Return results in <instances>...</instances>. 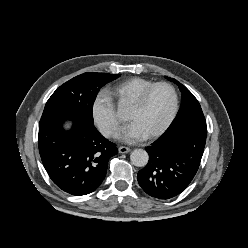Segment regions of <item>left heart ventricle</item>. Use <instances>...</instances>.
I'll use <instances>...</instances> for the list:
<instances>
[{
  "instance_id": "1",
  "label": "left heart ventricle",
  "mask_w": 248,
  "mask_h": 248,
  "mask_svg": "<svg viewBox=\"0 0 248 248\" xmlns=\"http://www.w3.org/2000/svg\"><path fill=\"white\" fill-rule=\"evenodd\" d=\"M173 95L170 89L161 86L155 88L139 111L128 110L127 120L136 125L148 136L157 131L167 120L172 110Z\"/></svg>"
}]
</instances>
